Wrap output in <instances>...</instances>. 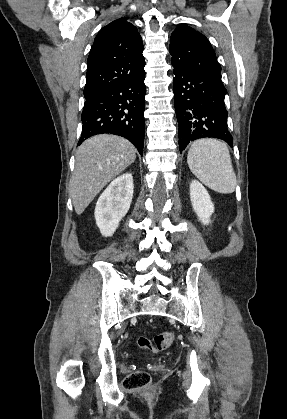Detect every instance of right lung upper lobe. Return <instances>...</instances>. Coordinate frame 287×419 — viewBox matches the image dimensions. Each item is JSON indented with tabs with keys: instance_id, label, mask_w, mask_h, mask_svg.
<instances>
[{
	"instance_id": "obj_1",
	"label": "right lung upper lobe",
	"mask_w": 287,
	"mask_h": 419,
	"mask_svg": "<svg viewBox=\"0 0 287 419\" xmlns=\"http://www.w3.org/2000/svg\"><path fill=\"white\" fill-rule=\"evenodd\" d=\"M142 52L141 36L126 18L103 27L88 57L85 98L141 74L145 66Z\"/></svg>"
}]
</instances>
